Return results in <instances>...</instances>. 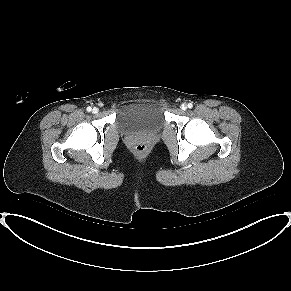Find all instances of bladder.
I'll return each instance as SVG.
<instances>
[{"instance_id": "obj_1", "label": "bladder", "mask_w": 291, "mask_h": 291, "mask_svg": "<svg viewBox=\"0 0 291 291\" xmlns=\"http://www.w3.org/2000/svg\"><path fill=\"white\" fill-rule=\"evenodd\" d=\"M165 123L163 108L153 102L125 105L119 112L117 124L124 132L155 131Z\"/></svg>"}]
</instances>
